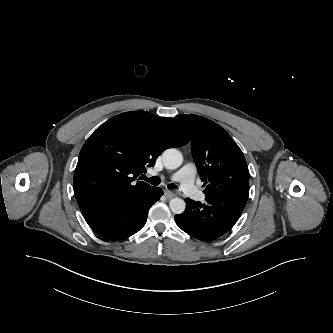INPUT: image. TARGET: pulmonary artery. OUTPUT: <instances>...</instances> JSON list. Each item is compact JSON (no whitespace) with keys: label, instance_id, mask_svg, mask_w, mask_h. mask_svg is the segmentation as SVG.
<instances>
[{"label":"pulmonary artery","instance_id":"obj_1","mask_svg":"<svg viewBox=\"0 0 333 333\" xmlns=\"http://www.w3.org/2000/svg\"><path fill=\"white\" fill-rule=\"evenodd\" d=\"M196 167L193 163L185 164L180 170L170 176L172 181H179L182 190L189 196L200 199L203 194L195 186Z\"/></svg>","mask_w":333,"mask_h":333}]
</instances>
